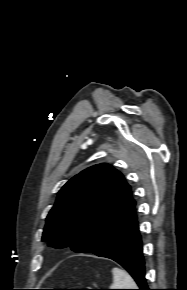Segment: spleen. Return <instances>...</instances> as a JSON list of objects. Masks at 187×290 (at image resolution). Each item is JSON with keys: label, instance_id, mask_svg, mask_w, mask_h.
Wrapping results in <instances>:
<instances>
[{"label": "spleen", "instance_id": "obj_1", "mask_svg": "<svg viewBox=\"0 0 187 290\" xmlns=\"http://www.w3.org/2000/svg\"><path fill=\"white\" fill-rule=\"evenodd\" d=\"M113 283L111 289H136L137 285L132 277L122 269L113 268Z\"/></svg>", "mask_w": 187, "mask_h": 290}]
</instances>
